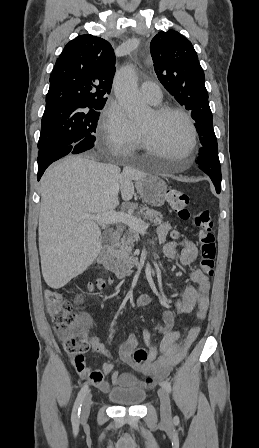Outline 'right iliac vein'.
I'll return each instance as SVG.
<instances>
[{
  "instance_id": "63e3f726",
  "label": "right iliac vein",
  "mask_w": 259,
  "mask_h": 448,
  "mask_svg": "<svg viewBox=\"0 0 259 448\" xmlns=\"http://www.w3.org/2000/svg\"><path fill=\"white\" fill-rule=\"evenodd\" d=\"M91 408V394L88 393L83 401L82 409H81V419L82 421H86Z\"/></svg>"
}]
</instances>
